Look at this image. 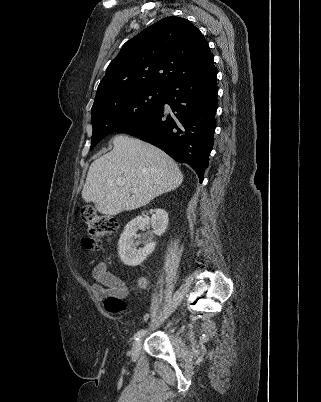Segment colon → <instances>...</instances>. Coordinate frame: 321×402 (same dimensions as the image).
Segmentation results:
<instances>
[{
    "instance_id": "obj_1",
    "label": "colon",
    "mask_w": 321,
    "mask_h": 402,
    "mask_svg": "<svg viewBox=\"0 0 321 402\" xmlns=\"http://www.w3.org/2000/svg\"><path fill=\"white\" fill-rule=\"evenodd\" d=\"M80 215L88 231V236L83 241L86 249H99L105 238L111 237L117 232L118 221L113 216L99 214L90 207L83 209ZM106 305L112 313H120L126 310L125 302L118 297H109Z\"/></svg>"
}]
</instances>
